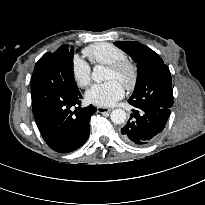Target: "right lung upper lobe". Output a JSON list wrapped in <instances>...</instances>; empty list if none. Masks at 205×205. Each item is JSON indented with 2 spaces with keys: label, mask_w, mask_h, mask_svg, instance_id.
<instances>
[{
  "label": "right lung upper lobe",
  "mask_w": 205,
  "mask_h": 205,
  "mask_svg": "<svg viewBox=\"0 0 205 205\" xmlns=\"http://www.w3.org/2000/svg\"><path fill=\"white\" fill-rule=\"evenodd\" d=\"M47 54L44 55V59H48V56H46Z\"/></svg>",
  "instance_id": "cb5924a9"
}]
</instances>
